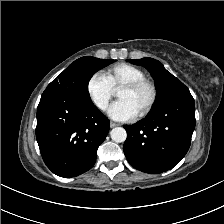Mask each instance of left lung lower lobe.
<instances>
[{
  "label": "left lung lower lobe",
  "instance_id": "left-lung-lower-lobe-1",
  "mask_svg": "<svg viewBox=\"0 0 224 224\" xmlns=\"http://www.w3.org/2000/svg\"><path fill=\"white\" fill-rule=\"evenodd\" d=\"M195 124L194 99L185 95L150 111L138 123L125 125L128 162L151 174L173 168L187 153Z\"/></svg>",
  "mask_w": 224,
  "mask_h": 224
}]
</instances>
